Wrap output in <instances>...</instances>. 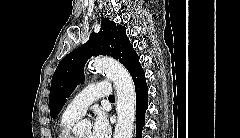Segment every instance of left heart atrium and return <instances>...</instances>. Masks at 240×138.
Returning a JSON list of instances; mask_svg holds the SVG:
<instances>
[{
  "label": "left heart atrium",
  "mask_w": 240,
  "mask_h": 138,
  "mask_svg": "<svg viewBox=\"0 0 240 138\" xmlns=\"http://www.w3.org/2000/svg\"><path fill=\"white\" fill-rule=\"evenodd\" d=\"M111 129L107 117L102 112H97L91 132L92 138H108Z\"/></svg>",
  "instance_id": "1"
}]
</instances>
